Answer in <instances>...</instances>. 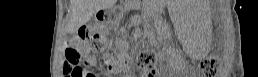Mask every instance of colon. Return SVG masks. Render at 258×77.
Instances as JSON below:
<instances>
[{
	"instance_id": "5ec220e1",
	"label": "colon",
	"mask_w": 258,
	"mask_h": 77,
	"mask_svg": "<svg viewBox=\"0 0 258 77\" xmlns=\"http://www.w3.org/2000/svg\"><path fill=\"white\" fill-rule=\"evenodd\" d=\"M107 28L102 21L93 22L85 26L80 34L81 41L90 50H100L106 40ZM83 53L76 47H69L65 53L64 71L69 77H90L81 66ZM137 62L144 70H152L156 66L155 55L150 51H142L138 55ZM219 67V59L210 55L201 62V69L206 74H213Z\"/></svg>"
}]
</instances>
